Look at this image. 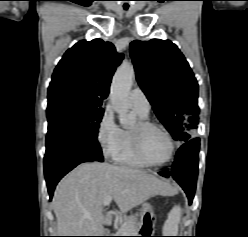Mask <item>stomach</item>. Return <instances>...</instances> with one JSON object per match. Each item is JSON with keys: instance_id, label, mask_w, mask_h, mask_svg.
Instances as JSON below:
<instances>
[{"instance_id": "0dacf381", "label": "stomach", "mask_w": 248, "mask_h": 237, "mask_svg": "<svg viewBox=\"0 0 248 237\" xmlns=\"http://www.w3.org/2000/svg\"><path fill=\"white\" fill-rule=\"evenodd\" d=\"M153 214V208L149 203H144L141 209V216L144 217L146 213Z\"/></svg>"}]
</instances>
